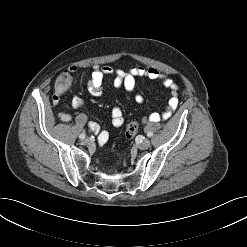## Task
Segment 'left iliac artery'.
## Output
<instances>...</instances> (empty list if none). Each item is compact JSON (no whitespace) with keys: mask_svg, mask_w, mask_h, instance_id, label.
<instances>
[{"mask_svg":"<svg viewBox=\"0 0 247 247\" xmlns=\"http://www.w3.org/2000/svg\"><path fill=\"white\" fill-rule=\"evenodd\" d=\"M147 136H148V137H151V136H153V133H152V132H148V133H147Z\"/></svg>","mask_w":247,"mask_h":247,"instance_id":"left-iliac-artery-1","label":"left iliac artery"}]
</instances>
